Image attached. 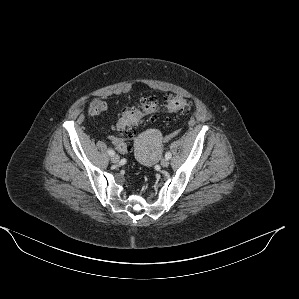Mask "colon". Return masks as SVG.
<instances>
[{
	"label": "colon",
	"mask_w": 299,
	"mask_h": 299,
	"mask_svg": "<svg viewBox=\"0 0 299 299\" xmlns=\"http://www.w3.org/2000/svg\"><path fill=\"white\" fill-rule=\"evenodd\" d=\"M192 108V103L186 98L180 96H166L161 100L157 98H144L136 109L126 110L119 118L116 129L121 135L129 138L133 136L136 127L141 124L143 117L148 114H154L161 110L166 112H188ZM105 109V104L100 99H93L88 105V113L92 116L99 115ZM117 149L123 153L129 151V146L124 141L117 143Z\"/></svg>",
	"instance_id": "colon-1"
}]
</instances>
